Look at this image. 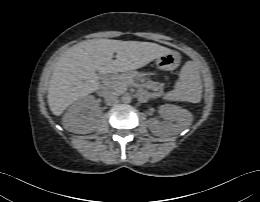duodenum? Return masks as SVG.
<instances>
[{"instance_id":"1","label":"duodenum","mask_w":260,"mask_h":202,"mask_svg":"<svg viewBox=\"0 0 260 202\" xmlns=\"http://www.w3.org/2000/svg\"><path fill=\"white\" fill-rule=\"evenodd\" d=\"M116 75V72H110L109 74H108V77H112V76H115ZM99 91H101V88H99Z\"/></svg>"}]
</instances>
